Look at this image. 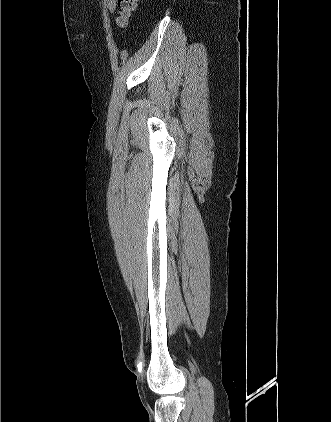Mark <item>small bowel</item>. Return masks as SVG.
Returning a JSON list of instances; mask_svg holds the SVG:
<instances>
[{"label": "small bowel", "mask_w": 331, "mask_h": 422, "mask_svg": "<svg viewBox=\"0 0 331 422\" xmlns=\"http://www.w3.org/2000/svg\"><path fill=\"white\" fill-rule=\"evenodd\" d=\"M118 5V0H103L104 8L109 12L113 13Z\"/></svg>", "instance_id": "small-bowel-1"}]
</instances>
